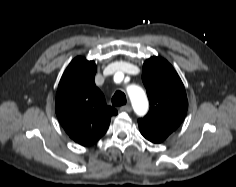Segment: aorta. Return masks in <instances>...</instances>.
Returning <instances> with one entry per match:
<instances>
[{"instance_id": "aorta-1", "label": "aorta", "mask_w": 236, "mask_h": 187, "mask_svg": "<svg viewBox=\"0 0 236 187\" xmlns=\"http://www.w3.org/2000/svg\"><path fill=\"white\" fill-rule=\"evenodd\" d=\"M129 98L133 104V107L135 111L138 114H143L145 113L148 103H147V98L142 90V88L138 86H130L127 90Z\"/></svg>"}]
</instances>
